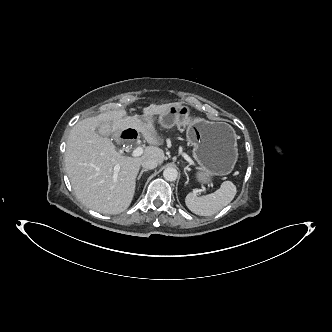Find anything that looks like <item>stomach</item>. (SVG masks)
<instances>
[{
    "label": "stomach",
    "mask_w": 332,
    "mask_h": 332,
    "mask_svg": "<svg viewBox=\"0 0 332 332\" xmlns=\"http://www.w3.org/2000/svg\"><path fill=\"white\" fill-rule=\"evenodd\" d=\"M159 123L166 129L186 127L193 157L199 165L196 179L201 185L210 186L213 177L233 171L238 159L237 137L229 124L190 119L185 105H172L166 114L160 115Z\"/></svg>",
    "instance_id": "stomach-1"
}]
</instances>
